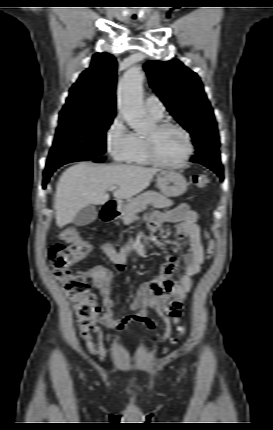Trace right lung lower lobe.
Segmentation results:
<instances>
[{
	"label": "right lung lower lobe",
	"mask_w": 273,
	"mask_h": 430,
	"mask_svg": "<svg viewBox=\"0 0 273 430\" xmlns=\"http://www.w3.org/2000/svg\"><path fill=\"white\" fill-rule=\"evenodd\" d=\"M104 157H100L97 158L96 160H94L95 162H103L104 161ZM56 169L44 172V180H43V187L45 188L46 183L49 181L50 176L52 175V173L55 171Z\"/></svg>",
	"instance_id": "98d812e1"
}]
</instances>
